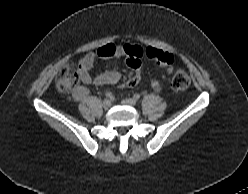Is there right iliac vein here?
Here are the masks:
<instances>
[{"label":"right iliac vein","mask_w":248,"mask_h":194,"mask_svg":"<svg viewBox=\"0 0 248 194\" xmlns=\"http://www.w3.org/2000/svg\"><path fill=\"white\" fill-rule=\"evenodd\" d=\"M111 107V101L109 100V99H105L104 101H103V108L104 109H108V108H110Z\"/></svg>","instance_id":"63e3f726"}]
</instances>
